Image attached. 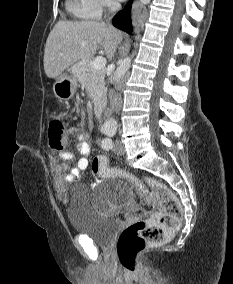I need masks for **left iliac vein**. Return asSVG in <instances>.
<instances>
[{"label":"left iliac vein","instance_id":"1","mask_svg":"<svg viewBox=\"0 0 233 284\" xmlns=\"http://www.w3.org/2000/svg\"><path fill=\"white\" fill-rule=\"evenodd\" d=\"M113 151L118 155H123L125 153V147L120 140L114 142Z\"/></svg>","mask_w":233,"mask_h":284}]
</instances>
